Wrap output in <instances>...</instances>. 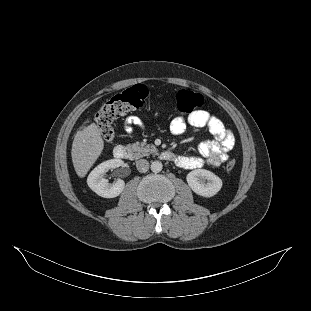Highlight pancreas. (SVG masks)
Listing matches in <instances>:
<instances>
[{"mask_svg": "<svg viewBox=\"0 0 311 311\" xmlns=\"http://www.w3.org/2000/svg\"><path fill=\"white\" fill-rule=\"evenodd\" d=\"M127 150L130 153H134L135 158H140L143 156H148L149 154H155L158 149L153 144H146L145 142H136L133 144H128Z\"/></svg>", "mask_w": 311, "mask_h": 311, "instance_id": "pancreas-1", "label": "pancreas"}]
</instances>
